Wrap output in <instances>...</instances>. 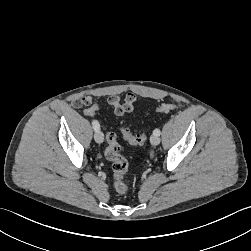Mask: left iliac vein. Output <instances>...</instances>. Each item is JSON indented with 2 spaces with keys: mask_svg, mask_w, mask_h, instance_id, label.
Wrapping results in <instances>:
<instances>
[{
  "mask_svg": "<svg viewBox=\"0 0 251 251\" xmlns=\"http://www.w3.org/2000/svg\"><path fill=\"white\" fill-rule=\"evenodd\" d=\"M150 142L152 145L156 146L160 143V137L158 135H152L150 138Z\"/></svg>",
  "mask_w": 251,
  "mask_h": 251,
  "instance_id": "1",
  "label": "left iliac vein"
}]
</instances>
